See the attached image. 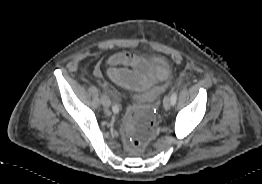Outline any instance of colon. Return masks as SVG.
<instances>
[{
    "label": "colon",
    "mask_w": 262,
    "mask_h": 184,
    "mask_svg": "<svg viewBox=\"0 0 262 184\" xmlns=\"http://www.w3.org/2000/svg\"><path fill=\"white\" fill-rule=\"evenodd\" d=\"M154 115L150 109L131 108L125 123V141L129 148L145 147L153 128Z\"/></svg>",
    "instance_id": "colon-1"
}]
</instances>
